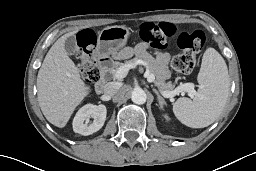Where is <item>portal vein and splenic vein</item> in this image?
<instances>
[{
	"label": "portal vein and splenic vein",
	"mask_w": 256,
	"mask_h": 171,
	"mask_svg": "<svg viewBox=\"0 0 256 171\" xmlns=\"http://www.w3.org/2000/svg\"><path fill=\"white\" fill-rule=\"evenodd\" d=\"M138 63L144 64L143 61H138L134 64L124 65L118 68V70L114 74L115 79H123L124 77H126L129 69L134 68ZM146 75H147L148 82H154L155 80L154 75L149 74V72H147ZM182 91L188 92L190 96H193L195 94L194 85L192 83H185L180 87L176 88L174 91H162V94L166 98H172Z\"/></svg>",
	"instance_id": "18ae733b"
}]
</instances>
